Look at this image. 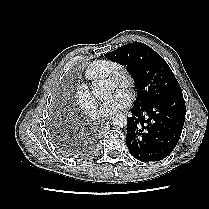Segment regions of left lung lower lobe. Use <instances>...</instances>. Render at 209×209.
Wrapping results in <instances>:
<instances>
[{"label":"left lung lower lobe","instance_id":"1","mask_svg":"<svg viewBox=\"0 0 209 209\" xmlns=\"http://www.w3.org/2000/svg\"><path fill=\"white\" fill-rule=\"evenodd\" d=\"M185 112L183 94L133 106L126 135L130 153L144 162H156L169 156L180 139Z\"/></svg>","mask_w":209,"mask_h":209}]
</instances>
